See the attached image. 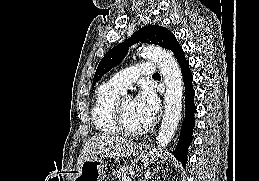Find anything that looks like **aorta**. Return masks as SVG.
Listing matches in <instances>:
<instances>
[{
	"instance_id": "762f6f07",
	"label": "aorta",
	"mask_w": 259,
	"mask_h": 181,
	"mask_svg": "<svg viewBox=\"0 0 259 181\" xmlns=\"http://www.w3.org/2000/svg\"><path fill=\"white\" fill-rule=\"evenodd\" d=\"M140 54L155 61L159 65L166 84L164 116L156 139L158 147L162 149L173 138L181 117L183 95L182 74L171 53L160 47L154 45L146 46L140 49Z\"/></svg>"
}]
</instances>
